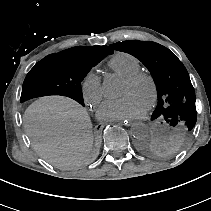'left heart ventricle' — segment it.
<instances>
[{"label": "left heart ventricle", "mask_w": 211, "mask_h": 211, "mask_svg": "<svg viewBox=\"0 0 211 211\" xmlns=\"http://www.w3.org/2000/svg\"><path fill=\"white\" fill-rule=\"evenodd\" d=\"M122 94H131L135 96L146 107L151 98V88L146 81H141L136 85L124 82L122 86Z\"/></svg>", "instance_id": "b2bd125f"}]
</instances>
